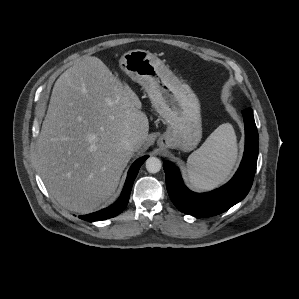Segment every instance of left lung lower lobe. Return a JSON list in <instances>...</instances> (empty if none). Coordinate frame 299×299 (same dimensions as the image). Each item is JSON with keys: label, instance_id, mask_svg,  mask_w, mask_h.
Instances as JSON below:
<instances>
[{"label": "left lung lower lobe", "instance_id": "left-lung-lower-lobe-1", "mask_svg": "<svg viewBox=\"0 0 299 299\" xmlns=\"http://www.w3.org/2000/svg\"><path fill=\"white\" fill-rule=\"evenodd\" d=\"M245 124V150L240 167L224 186L207 193L190 191L183 183L178 168L164 162L166 187L174 205L186 214L210 217L221 214L240 202L248 194L256 171L258 132L251 108L243 110Z\"/></svg>", "mask_w": 299, "mask_h": 299}]
</instances>
